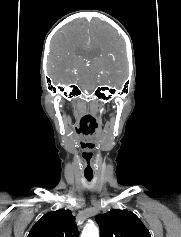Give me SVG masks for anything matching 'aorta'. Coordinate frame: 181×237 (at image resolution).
Segmentation results:
<instances>
[{
	"label": "aorta",
	"instance_id": "762f6f07",
	"mask_svg": "<svg viewBox=\"0 0 181 237\" xmlns=\"http://www.w3.org/2000/svg\"><path fill=\"white\" fill-rule=\"evenodd\" d=\"M81 237H99V229L94 224H87Z\"/></svg>",
	"mask_w": 181,
	"mask_h": 237
}]
</instances>
